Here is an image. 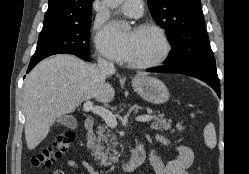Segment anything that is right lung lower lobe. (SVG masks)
I'll return each mask as SVG.
<instances>
[{"instance_id": "obj_1", "label": "right lung lower lobe", "mask_w": 249, "mask_h": 174, "mask_svg": "<svg viewBox=\"0 0 249 174\" xmlns=\"http://www.w3.org/2000/svg\"><path fill=\"white\" fill-rule=\"evenodd\" d=\"M73 55H76V56H78V57H80V58H82V59H84V60H86V61H90L91 60V58H90V54H73ZM41 60H39V61H35V62H30V64H29V67H28V70H27V73H29L30 71H31V69L38 63V62H40Z\"/></svg>"}]
</instances>
